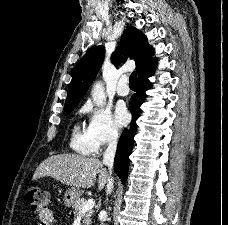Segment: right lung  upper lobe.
I'll return each mask as SVG.
<instances>
[{
    "instance_id": "1",
    "label": "right lung upper lobe",
    "mask_w": 228,
    "mask_h": 225,
    "mask_svg": "<svg viewBox=\"0 0 228 225\" xmlns=\"http://www.w3.org/2000/svg\"><path fill=\"white\" fill-rule=\"evenodd\" d=\"M123 55V56H121ZM153 48L148 44L147 37L138 29L128 26L122 35L119 47L112 54V62L117 66L128 57L136 62L138 73L154 60ZM104 47L96 46L90 49L76 64L72 81L69 86L65 107L78 104L94 80L103 62Z\"/></svg>"
}]
</instances>
